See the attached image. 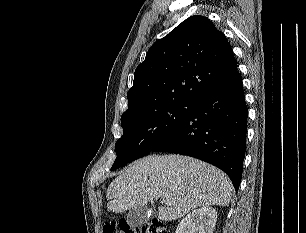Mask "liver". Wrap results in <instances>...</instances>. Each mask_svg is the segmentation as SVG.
<instances>
[{"label": "liver", "mask_w": 306, "mask_h": 233, "mask_svg": "<svg viewBox=\"0 0 306 233\" xmlns=\"http://www.w3.org/2000/svg\"><path fill=\"white\" fill-rule=\"evenodd\" d=\"M230 179L220 169L181 155H152L137 160L107 189L108 211L121 213L162 197L158 219L172 221L190 210L210 205L228 206L233 193Z\"/></svg>", "instance_id": "6515ba94"}]
</instances>
